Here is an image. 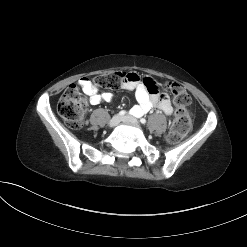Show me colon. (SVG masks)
<instances>
[{"label":"colon","mask_w":247,"mask_h":247,"mask_svg":"<svg viewBox=\"0 0 247 247\" xmlns=\"http://www.w3.org/2000/svg\"><path fill=\"white\" fill-rule=\"evenodd\" d=\"M127 77L128 74L124 72L107 73L97 76L94 83L101 88L118 89ZM164 86L173 94L177 106L167 138L170 143H177L190 130L191 118L187 106L191 103V97L183 87L175 82H167ZM85 110L86 102L81 96L79 87L76 84L70 85L59 99L58 114L69 128L79 129L84 123Z\"/></svg>","instance_id":"colon-1"}]
</instances>
